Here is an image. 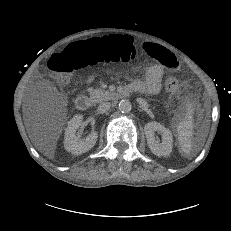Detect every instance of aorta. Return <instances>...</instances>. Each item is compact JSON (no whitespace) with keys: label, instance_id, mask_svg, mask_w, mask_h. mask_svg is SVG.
<instances>
[{"label":"aorta","instance_id":"762f6f07","mask_svg":"<svg viewBox=\"0 0 231 231\" xmlns=\"http://www.w3.org/2000/svg\"><path fill=\"white\" fill-rule=\"evenodd\" d=\"M118 108L122 113H128L131 111L132 105L129 100L123 99L119 102Z\"/></svg>","mask_w":231,"mask_h":231}]
</instances>
